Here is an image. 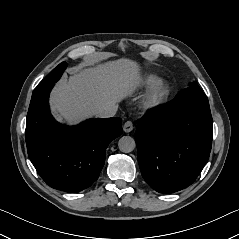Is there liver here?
<instances>
[{"label":"liver","instance_id":"6515ba94","mask_svg":"<svg viewBox=\"0 0 239 239\" xmlns=\"http://www.w3.org/2000/svg\"><path fill=\"white\" fill-rule=\"evenodd\" d=\"M140 81L139 68L129 59L83 69L57 84L51 94V107L58 119L76 123L116 106Z\"/></svg>","mask_w":239,"mask_h":239}]
</instances>
